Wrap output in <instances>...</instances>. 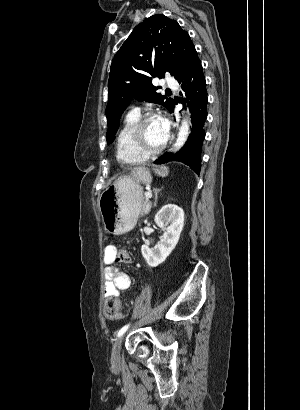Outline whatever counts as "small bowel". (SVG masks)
<instances>
[{"mask_svg": "<svg viewBox=\"0 0 300 410\" xmlns=\"http://www.w3.org/2000/svg\"><path fill=\"white\" fill-rule=\"evenodd\" d=\"M115 252L116 246L113 244L107 245L104 249V293L106 296L117 295L121 291L128 290L132 285L130 276L115 267Z\"/></svg>", "mask_w": 300, "mask_h": 410, "instance_id": "1", "label": "small bowel"}]
</instances>
